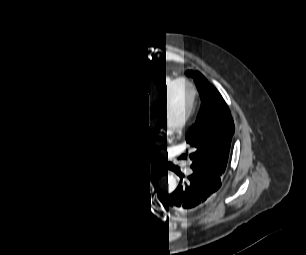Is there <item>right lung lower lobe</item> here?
<instances>
[{
  "instance_id": "obj_1",
  "label": "right lung lower lobe",
  "mask_w": 306,
  "mask_h": 255,
  "mask_svg": "<svg viewBox=\"0 0 306 255\" xmlns=\"http://www.w3.org/2000/svg\"><path fill=\"white\" fill-rule=\"evenodd\" d=\"M127 174L120 168L109 167L99 172H89L74 185L87 199L99 204L110 200L119 202L126 191Z\"/></svg>"
}]
</instances>
